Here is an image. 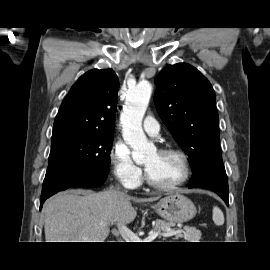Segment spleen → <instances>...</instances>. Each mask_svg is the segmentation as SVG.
<instances>
[{"label":"spleen","mask_w":270,"mask_h":270,"mask_svg":"<svg viewBox=\"0 0 270 270\" xmlns=\"http://www.w3.org/2000/svg\"><path fill=\"white\" fill-rule=\"evenodd\" d=\"M213 221L217 226L224 224L223 212L217 206L213 207Z\"/></svg>","instance_id":"spleen-1"}]
</instances>
